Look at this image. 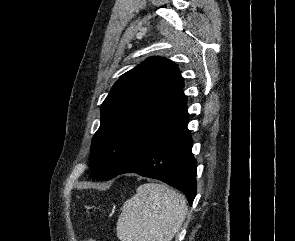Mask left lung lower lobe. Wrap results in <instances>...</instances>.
Wrapping results in <instances>:
<instances>
[{"label": "left lung lower lobe", "instance_id": "0a47b994", "mask_svg": "<svg viewBox=\"0 0 295 241\" xmlns=\"http://www.w3.org/2000/svg\"><path fill=\"white\" fill-rule=\"evenodd\" d=\"M187 124L188 119L154 139L111 179L124 173L158 179L181 190L192 205L196 196L197 162L192 155L193 141Z\"/></svg>", "mask_w": 295, "mask_h": 241}]
</instances>
